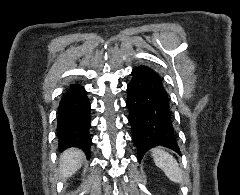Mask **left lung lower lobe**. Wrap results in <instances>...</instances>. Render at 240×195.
<instances>
[{
	"label": "left lung lower lobe",
	"mask_w": 240,
	"mask_h": 195,
	"mask_svg": "<svg viewBox=\"0 0 240 195\" xmlns=\"http://www.w3.org/2000/svg\"><path fill=\"white\" fill-rule=\"evenodd\" d=\"M131 76L126 105L139 162L147 150L158 145L180 154L172 126L169 97L161 77L146 65L136 66Z\"/></svg>",
	"instance_id": "obj_1"
}]
</instances>
